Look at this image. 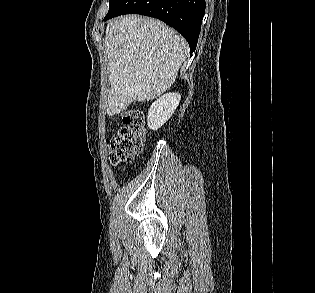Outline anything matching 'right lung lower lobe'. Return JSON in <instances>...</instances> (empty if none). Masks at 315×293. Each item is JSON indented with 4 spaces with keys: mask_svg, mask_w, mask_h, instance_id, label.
<instances>
[{
    "mask_svg": "<svg viewBox=\"0 0 315 293\" xmlns=\"http://www.w3.org/2000/svg\"><path fill=\"white\" fill-rule=\"evenodd\" d=\"M129 13L155 17L175 28L188 41L192 54L205 13V0H113L104 21Z\"/></svg>",
    "mask_w": 315,
    "mask_h": 293,
    "instance_id": "98d812e1",
    "label": "right lung lower lobe"
}]
</instances>
